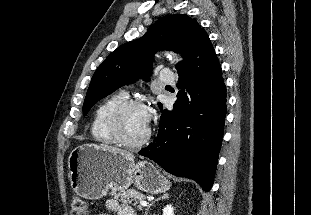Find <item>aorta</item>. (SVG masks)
Returning <instances> with one entry per match:
<instances>
[{
    "instance_id": "obj_1",
    "label": "aorta",
    "mask_w": 311,
    "mask_h": 215,
    "mask_svg": "<svg viewBox=\"0 0 311 215\" xmlns=\"http://www.w3.org/2000/svg\"><path fill=\"white\" fill-rule=\"evenodd\" d=\"M167 55L170 58H174V59H178L179 58V56L177 54L173 53V52H169V53H167Z\"/></svg>"
}]
</instances>
